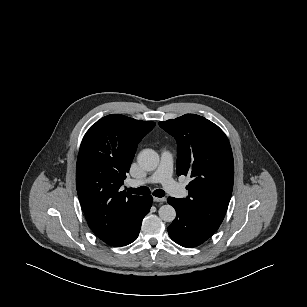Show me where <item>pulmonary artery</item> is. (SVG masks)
<instances>
[{
	"instance_id": "e3ab8cb5",
	"label": "pulmonary artery",
	"mask_w": 307,
	"mask_h": 307,
	"mask_svg": "<svg viewBox=\"0 0 307 307\" xmlns=\"http://www.w3.org/2000/svg\"><path fill=\"white\" fill-rule=\"evenodd\" d=\"M173 155L166 149L161 152V160L156 171L148 178L142 180L130 179L128 181L129 187H138L147 183H161L164 188L176 197H184L186 191L173 180Z\"/></svg>"
}]
</instances>
